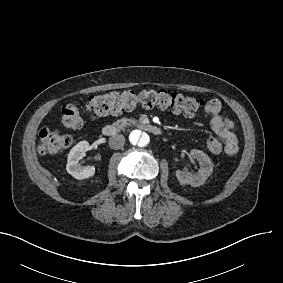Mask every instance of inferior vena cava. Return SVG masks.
Returning a JSON list of instances; mask_svg holds the SVG:
<instances>
[{
    "mask_svg": "<svg viewBox=\"0 0 283 283\" xmlns=\"http://www.w3.org/2000/svg\"><path fill=\"white\" fill-rule=\"evenodd\" d=\"M125 137L120 134L113 135L109 138V146L112 149H121L124 146Z\"/></svg>",
    "mask_w": 283,
    "mask_h": 283,
    "instance_id": "inferior-vena-cava-1",
    "label": "inferior vena cava"
}]
</instances>
